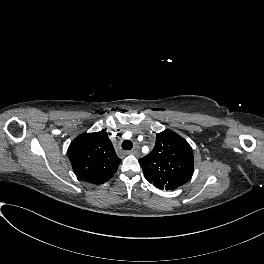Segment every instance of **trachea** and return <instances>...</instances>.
<instances>
[{"instance_id": "1", "label": "trachea", "mask_w": 264, "mask_h": 264, "mask_svg": "<svg viewBox=\"0 0 264 264\" xmlns=\"http://www.w3.org/2000/svg\"><path fill=\"white\" fill-rule=\"evenodd\" d=\"M133 147V143L130 140H125L122 142V148L125 150H131Z\"/></svg>"}]
</instances>
